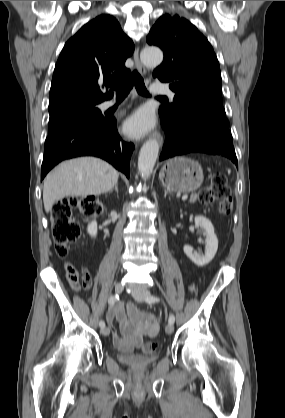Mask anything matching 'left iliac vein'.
<instances>
[{
    "label": "left iliac vein",
    "instance_id": "1",
    "mask_svg": "<svg viewBox=\"0 0 285 418\" xmlns=\"http://www.w3.org/2000/svg\"><path fill=\"white\" fill-rule=\"evenodd\" d=\"M132 296L137 300V301H145L146 298L151 296V293L148 290L145 289H137L132 291ZM165 331L167 334H172L174 331V325L169 323L166 328Z\"/></svg>",
    "mask_w": 285,
    "mask_h": 418
}]
</instances>
